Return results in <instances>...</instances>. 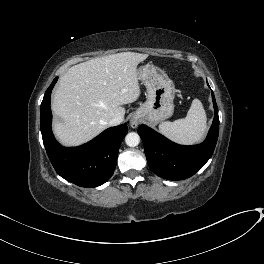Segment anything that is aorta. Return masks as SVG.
Segmentation results:
<instances>
[{"instance_id": "1", "label": "aorta", "mask_w": 264, "mask_h": 264, "mask_svg": "<svg viewBox=\"0 0 264 264\" xmlns=\"http://www.w3.org/2000/svg\"><path fill=\"white\" fill-rule=\"evenodd\" d=\"M125 142L129 147H135L140 143V137L135 132H130L125 137Z\"/></svg>"}]
</instances>
